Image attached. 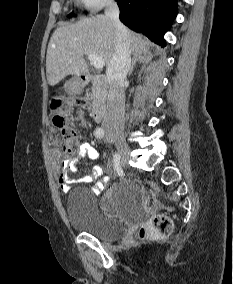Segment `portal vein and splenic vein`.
<instances>
[{
	"label": "portal vein and splenic vein",
	"mask_w": 233,
	"mask_h": 284,
	"mask_svg": "<svg viewBox=\"0 0 233 284\" xmlns=\"http://www.w3.org/2000/svg\"><path fill=\"white\" fill-rule=\"evenodd\" d=\"M88 59L96 69H102L105 65V61L95 54H89Z\"/></svg>",
	"instance_id": "18ae733b"
}]
</instances>
